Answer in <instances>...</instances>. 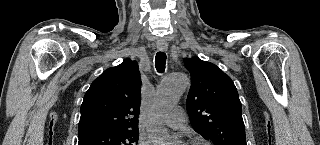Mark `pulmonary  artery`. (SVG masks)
<instances>
[{
    "label": "pulmonary artery",
    "instance_id": "pulmonary-artery-1",
    "mask_svg": "<svg viewBox=\"0 0 320 145\" xmlns=\"http://www.w3.org/2000/svg\"><path fill=\"white\" fill-rule=\"evenodd\" d=\"M187 119L183 108H175L167 117L166 124L172 129H182L186 125Z\"/></svg>",
    "mask_w": 320,
    "mask_h": 145
}]
</instances>
